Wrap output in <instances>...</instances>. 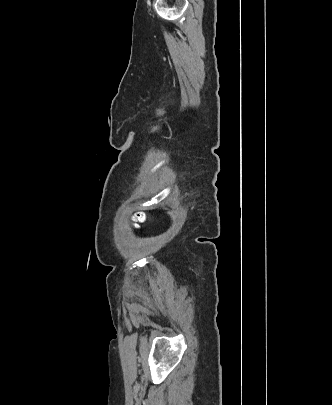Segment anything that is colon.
<instances>
[{
	"instance_id": "1",
	"label": "colon",
	"mask_w": 332,
	"mask_h": 405,
	"mask_svg": "<svg viewBox=\"0 0 332 405\" xmlns=\"http://www.w3.org/2000/svg\"><path fill=\"white\" fill-rule=\"evenodd\" d=\"M138 219H139V221H142V220H143V217H142V216H140Z\"/></svg>"
}]
</instances>
